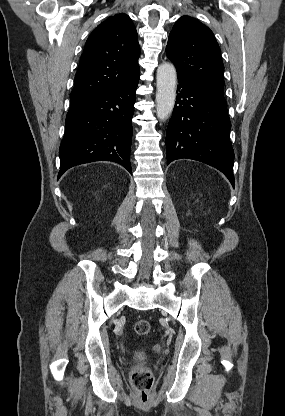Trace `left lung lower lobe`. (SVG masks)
Masks as SVG:
<instances>
[{
	"mask_svg": "<svg viewBox=\"0 0 285 416\" xmlns=\"http://www.w3.org/2000/svg\"><path fill=\"white\" fill-rule=\"evenodd\" d=\"M178 82L166 133L167 164L182 158L206 163L223 172L234 188L231 123L224 97L181 78Z\"/></svg>",
	"mask_w": 285,
	"mask_h": 416,
	"instance_id": "0a47b994",
	"label": "left lung lower lobe"
}]
</instances>
